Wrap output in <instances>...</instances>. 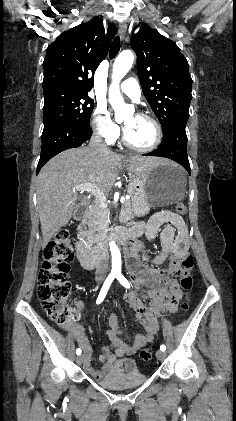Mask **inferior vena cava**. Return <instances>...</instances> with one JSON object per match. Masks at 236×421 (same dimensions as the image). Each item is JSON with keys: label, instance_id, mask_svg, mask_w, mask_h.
I'll list each match as a JSON object with an SVG mask.
<instances>
[{"label": "inferior vena cava", "instance_id": "obj_1", "mask_svg": "<svg viewBox=\"0 0 236 421\" xmlns=\"http://www.w3.org/2000/svg\"><path fill=\"white\" fill-rule=\"evenodd\" d=\"M89 146L90 148H93V150H103V152H109L110 150L107 144L102 142V136L99 134L98 130H94L90 138ZM106 271H108V263H102L99 269H97V273H106Z\"/></svg>", "mask_w": 236, "mask_h": 421}]
</instances>
